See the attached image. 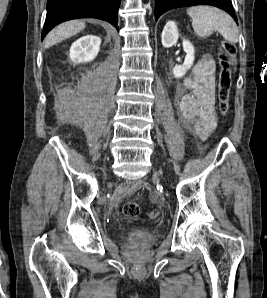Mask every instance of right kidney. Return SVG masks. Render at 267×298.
Masks as SVG:
<instances>
[{
	"mask_svg": "<svg viewBox=\"0 0 267 298\" xmlns=\"http://www.w3.org/2000/svg\"><path fill=\"white\" fill-rule=\"evenodd\" d=\"M101 38L95 35H85L76 40L70 48V59L74 63L92 61L98 54Z\"/></svg>",
	"mask_w": 267,
	"mask_h": 298,
	"instance_id": "ca27d5eb",
	"label": "right kidney"
}]
</instances>
